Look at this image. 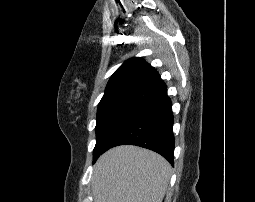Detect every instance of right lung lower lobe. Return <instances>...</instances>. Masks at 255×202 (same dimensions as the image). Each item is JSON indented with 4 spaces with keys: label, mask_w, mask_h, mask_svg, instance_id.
<instances>
[{
    "label": "right lung lower lobe",
    "mask_w": 255,
    "mask_h": 202,
    "mask_svg": "<svg viewBox=\"0 0 255 202\" xmlns=\"http://www.w3.org/2000/svg\"><path fill=\"white\" fill-rule=\"evenodd\" d=\"M123 144L153 150L173 164L175 143L170 98L165 96L138 111L111 138L105 151Z\"/></svg>",
    "instance_id": "98d812e1"
}]
</instances>
